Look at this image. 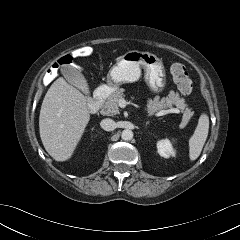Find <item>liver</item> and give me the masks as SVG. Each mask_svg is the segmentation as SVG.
I'll return each mask as SVG.
<instances>
[{
    "label": "liver",
    "mask_w": 240,
    "mask_h": 240,
    "mask_svg": "<svg viewBox=\"0 0 240 240\" xmlns=\"http://www.w3.org/2000/svg\"><path fill=\"white\" fill-rule=\"evenodd\" d=\"M89 120L85 96L62 77L54 81L39 115L40 138L48 154L56 161L70 159Z\"/></svg>",
    "instance_id": "6515ba94"
}]
</instances>
